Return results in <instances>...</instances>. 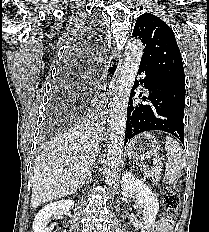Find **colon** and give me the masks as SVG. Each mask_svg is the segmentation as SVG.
Segmentation results:
<instances>
[{"mask_svg":"<svg viewBox=\"0 0 209 232\" xmlns=\"http://www.w3.org/2000/svg\"><path fill=\"white\" fill-rule=\"evenodd\" d=\"M164 212L162 213L161 220L170 222L175 219L179 209V196L173 188H168L163 197Z\"/></svg>","mask_w":209,"mask_h":232,"instance_id":"5ec220e1","label":"colon"}]
</instances>
